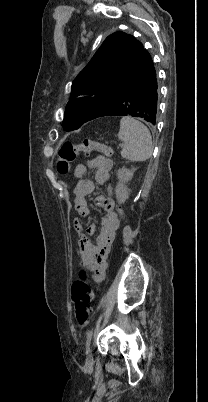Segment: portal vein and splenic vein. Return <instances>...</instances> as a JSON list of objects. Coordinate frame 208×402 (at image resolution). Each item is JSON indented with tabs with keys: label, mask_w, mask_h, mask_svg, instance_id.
I'll use <instances>...</instances> for the list:
<instances>
[{
	"label": "portal vein and splenic vein",
	"mask_w": 208,
	"mask_h": 402,
	"mask_svg": "<svg viewBox=\"0 0 208 402\" xmlns=\"http://www.w3.org/2000/svg\"><path fill=\"white\" fill-rule=\"evenodd\" d=\"M119 146H124V144H119Z\"/></svg>",
	"instance_id": "portal-vein-and-splenic-vein-1"
}]
</instances>
